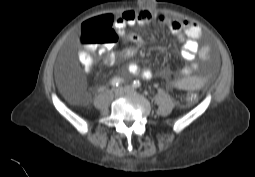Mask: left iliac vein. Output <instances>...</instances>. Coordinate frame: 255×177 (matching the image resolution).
Returning <instances> with one entry per match:
<instances>
[{
	"mask_svg": "<svg viewBox=\"0 0 255 177\" xmlns=\"http://www.w3.org/2000/svg\"><path fill=\"white\" fill-rule=\"evenodd\" d=\"M125 90H126V93H128V94H133V93H135L134 89L131 88V87H129V86L125 87Z\"/></svg>",
	"mask_w": 255,
	"mask_h": 177,
	"instance_id": "left-iliac-vein-1",
	"label": "left iliac vein"
}]
</instances>
